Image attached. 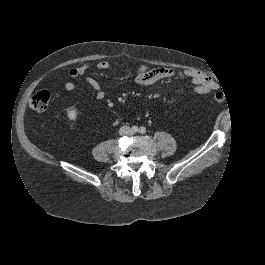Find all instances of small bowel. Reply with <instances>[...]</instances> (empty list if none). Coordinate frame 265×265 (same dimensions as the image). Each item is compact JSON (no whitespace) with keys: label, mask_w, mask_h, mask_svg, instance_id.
Returning a JSON list of instances; mask_svg holds the SVG:
<instances>
[{"label":"small bowel","mask_w":265,"mask_h":265,"mask_svg":"<svg viewBox=\"0 0 265 265\" xmlns=\"http://www.w3.org/2000/svg\"><path fill=\"white\" fill-rule=\"evenodd\" d=\"M98 70L104 71L111 67V64L108 61H101L96 65ZM91 68L90 64H83L78 67H74L69 70V76L71 78H78L86 74ZM175 77H186L191 79L195 85V92L198 94H207L218 88V84L208 77L207 75L196 72L193 70H184L182 72H177L171 68H150L146 65H141L137 68L135 74V82L141 86L153 85L156 82L164 79H170ZM87 83L90 87L96 92V98L98 100H103L105 98V93L102 90L99 82L88 76L86 78ZM64 88L67 91H74L77 88V85L68 81L64 84Z\"/></svg>","instance_id":"small-bowel-1"}]
</instances>
